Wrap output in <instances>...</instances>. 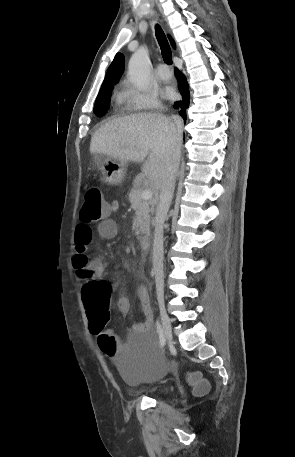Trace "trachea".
Returning a JSON list of instances; mask_svg holds the SVG:
<instances>
[{"label": "trachea", "mask_w": 295, "mask_h": 457, "mask_svg": "<svg viewBox=\"0 0 295 457\" xmlns=\"http://www.w3.org/2000/svg\"><path fill=\"white\" fill-rule=\"evenodd\" d=\"M155 30H156V38H157L159 46L161 48V54H162L163 60L166 64L171 65L172 64V52H171V48L169 46L168 40H167L162 28L158 24L155 26Z\"/></svg>", "instance_id": "3493384b"}]
</instances>
